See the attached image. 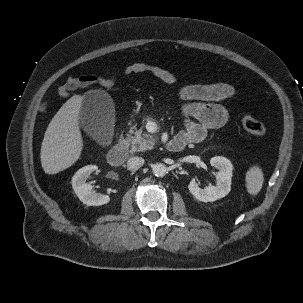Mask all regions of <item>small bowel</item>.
<instances>
[{"instance_id": "obj_1", "label": "small bowel", "mask_w": 303, "mask_h": 303, "mask_svg": "<svg viewBox=\"0 0 303 303\" xmlns=\"http://www.w3.org/2000/svg\"><path fill=\"white\" fill-rule=\"evenodd\" d=\"M124 73L126 75L150 74L167 85H179V79L174 73L145 62L128 65ZM90 85H102L101 79L95 76H69L59 85L58 94L67 98L74 90ZM235 94V87L224 82L179 86L178 95L182 101L181 111L184 118V129L179 137L187 143H198L204 140L208 130L226 126L230 115L219 102L228 100Z\"/></svg>"}]
</instances>
